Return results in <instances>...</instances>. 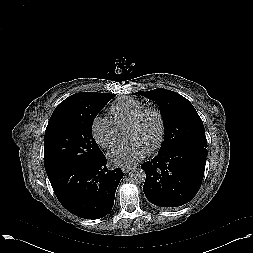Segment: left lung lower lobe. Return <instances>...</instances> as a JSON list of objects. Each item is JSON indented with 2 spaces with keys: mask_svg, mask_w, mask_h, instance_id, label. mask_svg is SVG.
Returning <instances> with one entry per match:
<instances>
[{
  "mask_svg": "<svg viewBox=\"0 0 253 253\" xmlns=\"http://www.w3.org/2000/svg\"><path fill=\"white\" fill-rule=\"evenodd\" d=\"M207 159L206 147L177 145L144 162L146 173L143 191L152 204L173 208L191 201L199 191Z\"/></svg>",
  "mask_w": 253,
  "mask_h": 253,
  "instance_id": "0a47b994",
  "label": "left lung lower lobe"
}]
</instances>
